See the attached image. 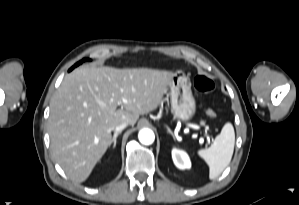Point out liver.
<instances>
[{"label":"liver","instance_id":"liver-1","mask_svg":"<svg viewBox=\"0 0 299 205\" xmlns=\"http://www.w3.org/2000/svg\"><path fill=\"white\" fill-rule=\"evenodd\" d=\"M174 74L148 68L82 66L65 76L50 103L51 150L66 175L84 182L122 122L155 110ZM121 108H118V107Z\"/></svg>","mask_w":299,"mask_h":205}]
</instances>
